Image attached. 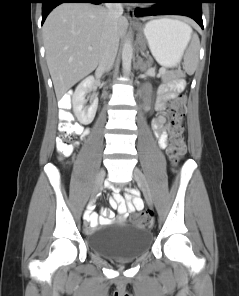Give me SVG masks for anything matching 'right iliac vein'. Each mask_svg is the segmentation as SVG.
<instances>
[{"label": "right iliac vein", "instance_id": "right-iliac-vein-1", "mask_svg": "<svg viewBox=\"0 0 239 296\" xmlns=\"http://www.w3.org/2000/svg\"><path fill=\"white\" fill-rule=\"evenodd\" d=\"M104 177H105V171L101 170L97 176L96 182H95V186L93 189V193L92 196L93 198L95 197V195L97 194V192L101 189V187L103 186L104 183Z\"/></svg>", "mask_w": 239, "mask_h": 296}]
</instances>
